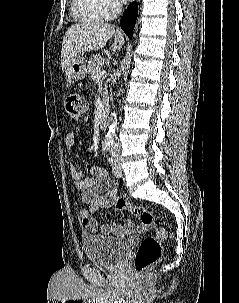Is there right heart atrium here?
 Segmentation results:
<instances>
[{
    "instance_id": "obj_1",
    "label": "right heart atrium",
    "mask_w": 239,
    "mask_h": 303,
    "mask_svg": "<svg viewBox=\"0 0 239 303\" xmlns=\"http://www.w3.org/2000/svg\"><path fill=\"white\" fill-rule=\"evenodd\" d=\"M97 11L104 18H111L116 15L120 9L118 0H94Z\"/></svg>"
}]
</instances>
